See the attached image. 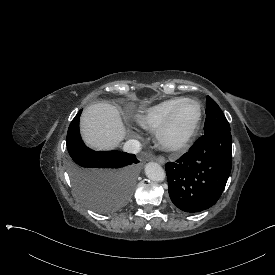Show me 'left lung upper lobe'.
Segmentation results:
<instances>
[{
  "mask_svg": "<svg viewBox=\"0 0 275 275\" xmlns=\"http://www.w3.org/2000/svg\"><path fill=\"white\" fill-rule=\"evenodd\" d=\"M206 120L204 135L218 130H230V125L217 103L207 96Z\"/></svg>",
  "mask_w": 275,
  "mask_h": 275,
  "instance_id": "left-lung-upper-lobe-1",
  "label": "left lung upper lobe"
}]
</instances>
